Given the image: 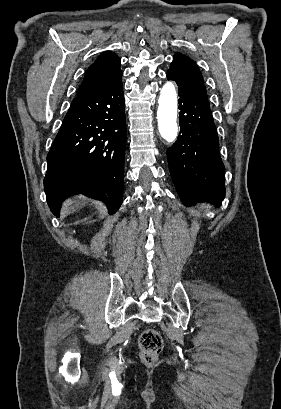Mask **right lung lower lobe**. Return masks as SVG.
Segmentation results:
<instances>
[{"instance_id": "98d812e1", "label": "right lung lower lobe", "mask_w": 281, "mask_h": 409, "mask_svg": "<svg viewBox=\"0 0 281 409\" xmlns=\"http://www.w3.org/2000/svg\"><path fill=\"white\" fill-rule=\"evenodd\" d=\"M121 76L122 71L107 86L76 96L62 122L44 179L56 216L61 202L78 191L103 201L110 214L122 204L126 119Z\"/></svg>"}]
</instances>
